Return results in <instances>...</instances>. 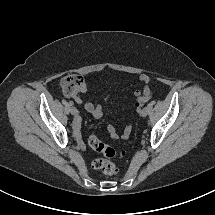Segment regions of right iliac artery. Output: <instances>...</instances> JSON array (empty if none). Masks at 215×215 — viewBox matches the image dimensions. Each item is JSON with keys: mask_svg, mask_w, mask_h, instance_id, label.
<instances>
[{"mask_svg": "<svg viewBox=\"0 0 215 215\" xmlns=\"http://www.w3.org/2000/svg\"><path fill=\"white\" fill-rule=\"evenodd\" d=\"M70 106H72L73 105V102L72 101H69V103H68Z\"/></svg>", "mask_w": 215, "mask_h": 215, "instance_id": "82829eb1", "label": "right iliac artery"}]
</instances>
